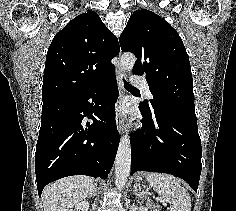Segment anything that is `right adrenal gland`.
Segmentation results:
<instances>
[{
	"mask_svg": "<svg viewBox=\"0 0 236 211\" xmlns=\"http://www.w3.org/2000/svg\"><path fill=\"white\" fill-rule=\"evenodd\" d=\"M97 190H98V188H97V183H95V184H94V190H93L92 193L89 194V196H90V197H92V196H93V197L96 196V194H97Z\"/></svg>",
	"mask_w": 236,
	"mask_h": 211,
	"instance_id": "right-adrenal-gland-1",
	"label": "right adrenal gland"
}]
</instances>
